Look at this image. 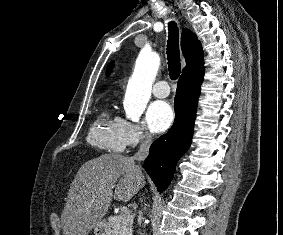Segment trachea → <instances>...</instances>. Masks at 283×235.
I'll use <instances>...</instances> for the list:
<instances>
[{"mask_svg": "<svg viewBox=\"0 0 283 235\" xmlns=\"http://www.w3.org/2000/svg\"><path fill=\"white\" fill-rule=\"evenodd\" d=\"M168 28H169V36L167 43L168 69H169L170 78L172 80H176L181 73L178 28L174 22H170Z\"/></svg>", "mask_w": 283, "mask_h": 235, "instance_id": "obj_1", "label": "trachea"}]
</instances>
